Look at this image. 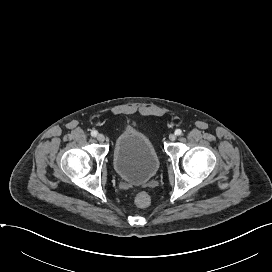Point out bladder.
<instances>
[{
    "mask_svg": "<svg viewBox=\"0 0 272 272\" xmlns=\"http://www.w3.org/2000/svg\"><path fill=\"white\" fill-rule=\"evenodd\" d=\"M113 165L120 178L140 184L157 173L160 160L146 135L135 129H127L115 141Z\"/></svg>",
    "mask_w": 272,
    "mask_h": 272,
    "instance_id": "1",
    "label": "bladder"
}]
</instances>
